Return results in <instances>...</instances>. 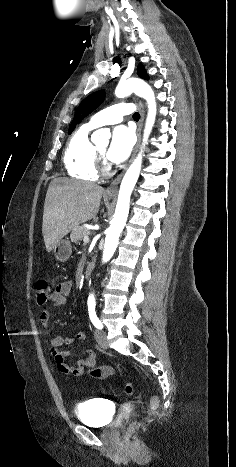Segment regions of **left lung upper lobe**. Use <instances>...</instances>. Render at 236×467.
I'll list each match as a JSON object with an SVG mask.
<instances>
[{"label": "left lung upper lobe", "instance_id": "5c2ea615", "mask_svg": "<svg viewBox=\"0 0 236 467\" xmlns=\"http://www.w3.org/2000/svg\"><path fill=\"white\" fill-rule=\"evenodd\" d=\"M138 75L143 79H148V75L146 74L144 67L140 64L138 66ZM105 98V92L103 90L94 92L93 94L89 95L85 98L80 105L78 106L74 119L69 126L68 133L70 134L76 127L78 123H80L87 115H89L93 110H95L99 105L102 104Z\"/></svg>", "mask_w": 236, "mask_h": 467}]
</instances>
